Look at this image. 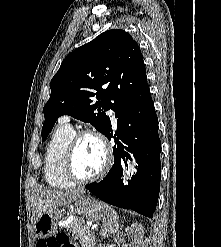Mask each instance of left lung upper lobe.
Listing matches in <instances>:
<instances>
[{"label": "left lung upper lobe", "mask_w": 221, "mask_h": 247, "mask_svg": "<svg viewBox=\"0 0 221 247\" xmlns=\"http://www.w3.org/2000/svg\"><path fill=\"white\" fill-rule=\"evenodd\" d=\"M150 96L136 41L120 29L105 31L67 55L52 78L51 95L43 108L42 141L65 114L89 122L106 135L111 121L105 111Z\"/></svg>", "instance_id": "left-lung-upper-lobe-1"}]
</instances>
